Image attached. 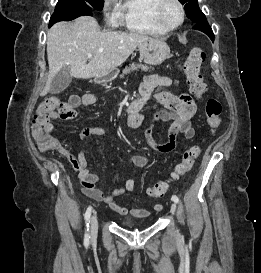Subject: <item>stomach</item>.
<instances>
[{
    "instance_id": "obj_1",
    "label": "stomach",
    "mask_w": 261,
    "mask_h": 273,
    "mask_svg": "<svg viewBox=\"0 0 261 273\" xmlns=\"http://www.w3.org/2000/svg\"><path fill=\"white\" fill-rule=\"evenodd\" d=\"M139 52L145 63L159 65L168 58L170 49L163 40L149 39L139 44ZM118 72V69H114L104 77L95 78V81L97 83L112 81L116 78Z\"/></svg>"
}]
</instances>
